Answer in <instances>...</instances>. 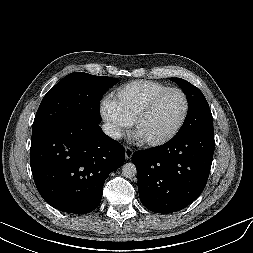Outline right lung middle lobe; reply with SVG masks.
I'll list each match as a JSON object with an SVG mask.
<instances>
[{
    "mask_svg": "<svg viewBox=\"0 0 253 253\" xmlns=\"http://www.w3.org/2000/svg\"><path fill=\"white\" fill-rule=\"evenodd\" d=\"M117 78L73 72L52 87L37 110L32 133L76 122L99 124L100 100Z\"/></svg>",
    "mask_w": 253,
    "mask_h": 253,
    "instance_id": "dd1d6c3e",
    "label": "right lung middle lobe"
}]
</instances>
